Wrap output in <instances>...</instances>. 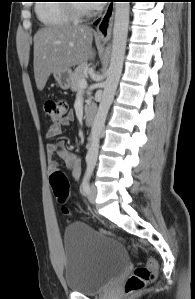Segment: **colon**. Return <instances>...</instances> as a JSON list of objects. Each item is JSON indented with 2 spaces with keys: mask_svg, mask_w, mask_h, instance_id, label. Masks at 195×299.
I'll list each match as a JSON object with an SVG mask.
<instances>
[{
  "mask_svg": "<svg viewBox=\"0 0 195 299\" xmlns=\"http://www.w3.org/2000/svg\"><path fill=\"white\" fill-rule=\"evenodd\" d=\"M45 113L53 122L61 121L67 113L68 105L63 100H47L44 104ZM53 192L60 202H64L69 192L68 177L60 170H55L50 176ZM65 215H70L67 207L62 208ZM157 263L154 259L137 266L126 280L124 288L127 293H134L151 284L156 278Z\"/></svg>",
  "mask_w": 195,
  "mask_h": 299,
  "instance_id": "1",
  "label": "colon"
}]
</instances>
